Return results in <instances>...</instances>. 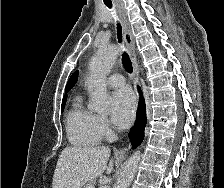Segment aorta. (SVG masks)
Wrapping results in <instances>:
<instances>
[{"label":"aorta","instance_id":"obj_1","mask_svg":"<svg viewBox=\"0 0 224 188\" xmlns=\"http://www.w3.org/2000/svg\"><path fill=\"white\" fill-rule=\"evenodd\" d=\"M118 55L119 47L117 45H105L101 46L91 58L90 75L87 80L88 90L91 95L89 107L98 113L107 111L109 99L105 82ZM139 161L140 151H136L127 161L114 188H129L137 171Z\"/></svg>","mask_w":224,"mask_h":188}]
</instances>
